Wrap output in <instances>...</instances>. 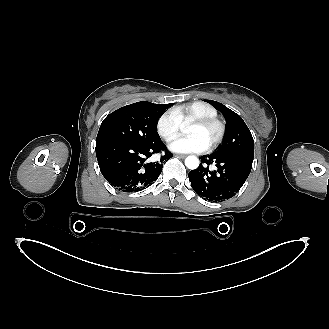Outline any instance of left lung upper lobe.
<instances>
[{"label":"left lung upper lobe","instance_id":"obj_1","mask_svg":"<svg viewBox=\"0 0 329 329\" xmlns=\"http://www.w3.org/2000/svg\"><path fill=\"white\" fill-rule=\"evenodd\" d=\"M219 110L226 119L227 134L223 144L214 152L222 155H236L253 159L254 140L243 119L225 105L205 100Z\"/></svg>","mask_w":329,"mask_h":329}]
</instances>
